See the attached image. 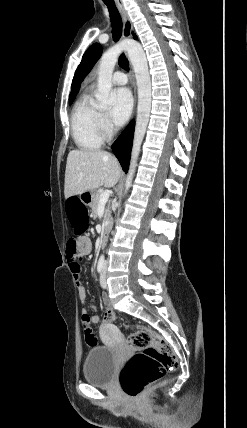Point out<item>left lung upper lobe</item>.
<instances>
[{
  "instance_id": "left-lung-upper-lobe-1",
  "label": "left lung upper lobe",
  "mask_w": 247,
  "mask_h": 428,
  "mask_svg": "<svg viewBox=\"0 0 247 428\" xmlns=\"http://www.w3.org/2000/svg\"><path fill=\"white\" fill-rule=\"evenodd\" d=\"M101 54L102 47L100 44L95 43L88 48V50L84 53L82 61L75 72L72 86H74L75 84H79L83 81L84 77L90 72L94 64L100 58Z\"/></svg>"
}]
</instances>
